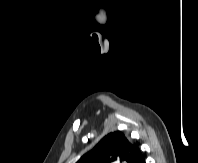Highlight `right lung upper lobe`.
<instances>
[{
    "label": "right lung upper lobe",
    "mask_w": 198,
    "mask_h": 163,
    "mask_svg": "<svg viewBox=\"0 0 198 163\" xmlns=\"http://www.w3.org/2000/svg\"><path fill=\"white\" fill-rule=\"evenodd\" d=\"M76 163H145L138 149L119 131L104 136L89 152Z\"/></svg>",
    "instance_id": "right-lung-upper-lobe-1"
}]
</instances>
